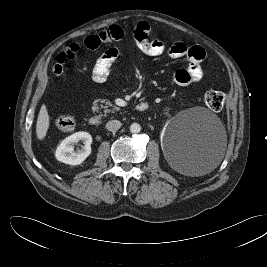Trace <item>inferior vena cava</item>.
I'll return each instance as SVG.
<instances>
[{"mask_svg": "<svg viewBox=\"0 0 267 267\" xmlns=\"http://www.w3.org/2000/svg\"><path fill=\"white\" fill-rule=\"evenodd\" d=\"M121 125L122 124H121L120 121H118V120H111V121H108L107 122L106 128H107L108 131L115 132L118 129H120Z\"/></svg>", "mask_w": 267, "mask_h": 267, "instance_id": "inferior-vena-cava-1", "label": "inferior vena cava"}]
</instances>
